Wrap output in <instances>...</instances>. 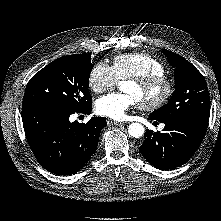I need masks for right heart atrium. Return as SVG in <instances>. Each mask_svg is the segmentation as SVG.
Returning <instances> with one entry per match:
<instances>
[{
  "label": "right heart atrium",
  "mask_w": 221,
  "mask_h": 221,
  "mask_svg": "<svg viewBox=\"0 0 221 221\" xmlns=\"http://www.w3.org/2000/svg\"><path fill=\"white\" fill-rule=\"evenodd\" d=\"M118 78L113 68L106 63L98 62L90 70L88 83L95 93H103L115 86Z\"/></svg>",
  "instance_id": "obj_1"
}]
</instances>
